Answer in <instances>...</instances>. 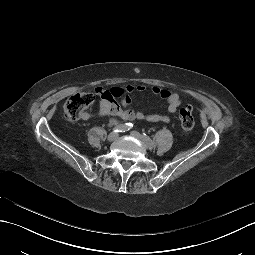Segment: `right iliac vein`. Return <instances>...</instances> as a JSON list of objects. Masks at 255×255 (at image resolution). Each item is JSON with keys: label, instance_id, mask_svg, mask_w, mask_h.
<instances>
[{"label": "right iliac vein", "instance_id": "obj_1", "mask_svg": "<svg viewBox=\"0 0 255 255\" xmlns=\"http://www.w3.org/2000/svg\"><path fill=\"white\" fill-rule=\"evenodd\" d=\"M117 138H118V133L113 132V133H110V134H109V136H108V141H109V142H113V141H115Z\"/></svg>", "mask_w": 255, "mask_h": 255}]
</instances>
